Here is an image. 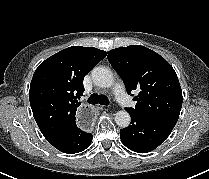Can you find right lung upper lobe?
Listing matches in <instances>:
<instances>
[{
  "label": "right lung upper lobe",
  "instance_id": "right-lung-upper-lobe-1",
  "mask_svg": "<svg viewBox=\"0 0 209 179\" xmlns=\"http://www.w3.org/2000/svg\"><path fill=\"white\" fill-rule=\"evenodd\" d=\"M106 56L97 48L73 46L43 61L36 69L29 100L36 123L47 141L75 124L83 95V79Z\"/></svg>",
  "mask_w": 209,
  "mask_h": 179
}]
</instances>
